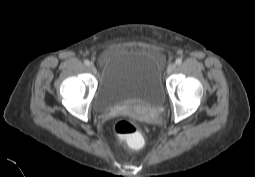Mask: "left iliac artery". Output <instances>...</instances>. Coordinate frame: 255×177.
Here are the masks:
<instances>
[{
  "instance_id": "44dca946",
  "label": "left iliac artery",
  "mask_w": 255,
  "mask_h": 177,
  "mask_svg": "<svg viewBox=\"0 0 255 177\" xmlns=\"http://www.w3.org/2000/svg\"><path fill=\"white\" fill-rule=\"evenodd\" d=\"M175 63H176L177 65H180V64L182 63V59H181V58H177L176 61H175Z\"/></svg>"
}]
</instances>
